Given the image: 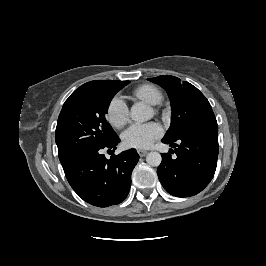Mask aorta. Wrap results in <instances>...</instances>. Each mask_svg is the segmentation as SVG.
<instances>
[{
  "mask_svg": "<svg viewBox=\"0 0 266 266\" xmlns=\"http://www.w3.org/2000/svg\"><path fill=\"white\" fill-rule=\"evenodd\" d=\"M130 116L132 120L138 123L148 121L152 117L151 109L142 102H137L131 107ZM162 157L158 152H149L146 156V162L150 166L157 167L161 164Z\"/></svg>",
  "mask_w": 266,
  "mask_h": 266,
  "instance_id": "obj_1",
  "label": "aorta"
}]
</instances>
